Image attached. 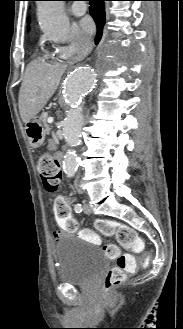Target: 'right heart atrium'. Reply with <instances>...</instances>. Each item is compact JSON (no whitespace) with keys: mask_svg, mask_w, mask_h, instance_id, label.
I'll use <instances>...</instances> for the list:
<instances>
[{"mask_svg":"<svg viewBox=\"0 0 183 329\" xmlns=\"http://www.w3.org/2000/svg\"><path fill=\"white\" fill-rule=\"evenodd\" d=\"M79 47L89 48L90 41L76 27H73L70 31L68 41L58 46L56 54L60 58H68L71 57Z\"/></svg>","mask_w":183,"mask_h":329,"instance_id":"1","label":"right heart atrium"}]
</instances>
